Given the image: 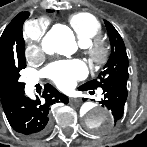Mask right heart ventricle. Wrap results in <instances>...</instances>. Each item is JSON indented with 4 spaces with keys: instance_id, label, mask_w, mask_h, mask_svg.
Returning a JSON list of instances; mask_svg holds the SVG:
<instances>
[{
    "instance_id": "obj_1",
    "label": "right heart ventricle",
    "mask_w": 147,
    "mask_h": 147,
    "mask_svg": "<svg viewBox=\"0 0 147 147\" xmlns=\"http://www.w3.org/2000/svg\"><path fill=\"white\" fill-rule=\"evenodd\" d=\"M69 22L74 29L79 43L87 45L101 32L98 19L90 13H78L70 17Z\"/></svg>"
}]
</instances>
